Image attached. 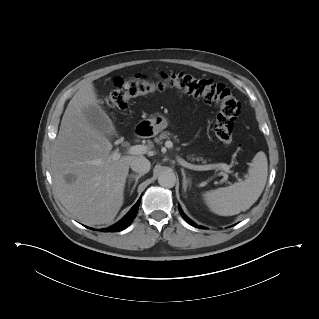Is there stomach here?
Here are the masks:
<instances>
[{"instance_id":"0dacf381","label":"stomach","mask_w":319,"mask_h":319,"mask_svg":"<svg viewBox=\"0 0 319 319\" xmlns=\"http://www.w3.org/2000/svg\"><path fill=\"white\" fill-rule=\"evenodd\" d=\"M153 135L158 134L168 126V120L160 113H155L146 120Z\"/></svg>"}]
</instances>
